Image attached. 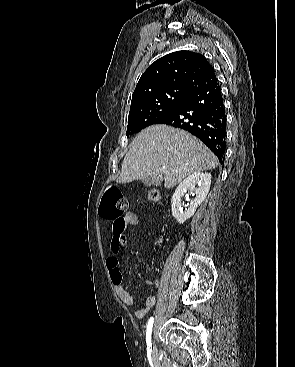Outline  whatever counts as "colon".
<instances>
[{
  "mask_svg": "<svg viewBox=\"0 0 295 367\" xmlns=\"http://www.w3.org/2000/svg\"><path fill=\"white\" fill-rule=\"evenodd\" d=\"M151 200H159L161 198L158 190L149 192ZM127 208V200L121 190L115 185L106 187L101 204L102 217L111 221H119Z\"/></svg>",
  "mask_w": 295,
  "mask_h": 367,
  "instance_id": "1",
  "label": "colon"
}]
</instances>
